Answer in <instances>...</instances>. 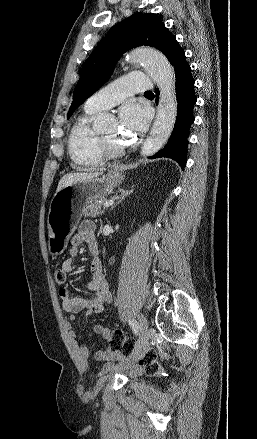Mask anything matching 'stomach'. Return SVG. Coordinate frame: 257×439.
<instances>
[{
    "label": "stomach",
    "mask_w": 257,
    "mask_h": 439,
    "mask_svg": "<svg viewBox=\"0 0 257 439\" xmlns=\"http://www.w3.org/2000/svg\"><path fill=\"white\" fill-rule=\"evenodd\" d=\"M124 176L119 170H111L106 176L79 181L56 192L48 213L49 252L60 255L67 248L83 209L97 198L105 197L119 185Z\"/></svg>",
    "instance_id": "obj_1"
}]
</instances>
